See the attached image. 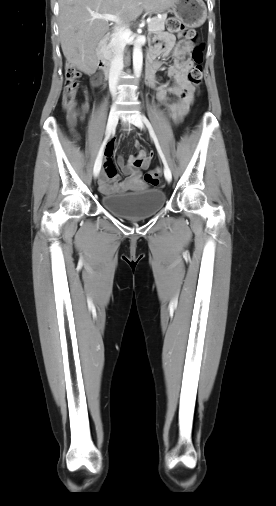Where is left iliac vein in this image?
I'll list each match as a JSON object with an SVG mask.
<instances>
[{
	"mask_svg": "<svg viewBox=\"0 0 276 506\" xmlns=\"http://www.w3.org/2000/svg\"><path fill=\"white\" fill-rule=\"evenodd\" d=\"M129 121L133 123L135 126L139 128H143V121L139 114H134L132 117H129ZM164 174L168 182L172 180V174L168 167H165Z\"/></svg>",
	"mask_w": 276,
	"mask_h": 506,
	"instance_id": "1",
	"label": "left iliac vein"
}]
</instances>
